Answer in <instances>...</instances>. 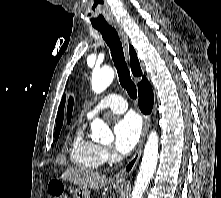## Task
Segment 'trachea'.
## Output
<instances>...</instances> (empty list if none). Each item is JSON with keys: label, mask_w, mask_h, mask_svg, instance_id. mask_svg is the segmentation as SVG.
<instances>
[{"label": "trachea", "mask_w": 221, "mask_h": 198, "mask_svg": "<svg viewBox=\"0 0 221 198\" xmlns=\"http://www.w3.org/2000/svg\"><path fill=\"white\" fill-rule=\"evenodd\" d=\"M102 34L103 39L107 43L110 48L112 60L117 69L118 77L121 86L126 89L128 95L132 99L137 98V89L135 84L133 83L130 71L125 61L122 43L117 34L115 28L111 26L106 27H97L96 28Z\"/></svg>", "instance_id": "trachea-1"}]
</instances>
